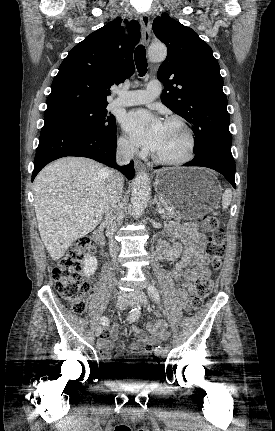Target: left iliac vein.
<instances>
[{
  "mask_svg": "<svg viewBox=\"0 0 275 431\" xmlns=\"http://www.w3.org/2000/svg\"><path fill=\"white\" fill-rule=\"evenodd\" d=\"M147 301H148L147 296L142 291H136V292H134L133 294L130 295V303L131 304H137V303L140 302V303L146 305ZM169 352H170V347L166 346L163 349V351L161 353V356L162 357H167V355L169 354Z\"/></svg>",
  "mask_w": 275,
  "mask_h": 431,
  "instance_id": "left-iliac-vein-1",
  "label": "left iliac vein"
}]
</instances>
